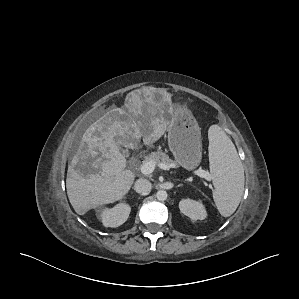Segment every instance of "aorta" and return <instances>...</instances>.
I'll return each mask as SVG.
<instances>
[{"mask_svg":"<svg viewBox=\"0 0 299 299\" xmlns=\"http://www.w3.org/2000/svg\"><path fill=\"white\" fill-rule=\"evenodd\" d=\"M168 197V194L165 190H159L157 191L156 193V198L159 200V201H165Z\"/></svg>","mask_w":299,"mask_h":299,"instance_id":"obj_1","label":"aorta"}]
</instances>
